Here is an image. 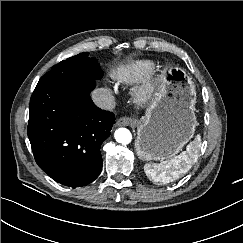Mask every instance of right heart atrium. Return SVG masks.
Returning a JSON list of instances; mask_svg holds the SVG:
<instances>
[{"label": "right heart atrium", "instance_id": "right-heart-atrium-1", "mask_svg": "<svg viewBox=\"0 0 243 243\" xmlns=\"http://www.w3.org/2000/svg\"><path fill=\"white\" fill-rule=\"evenodd\" d=\"M109 93L111 92L109 89L107 90Z\"/></svg>", "mask_w": 243, "mask_h": 243}]
</instances>
